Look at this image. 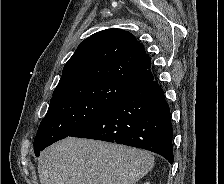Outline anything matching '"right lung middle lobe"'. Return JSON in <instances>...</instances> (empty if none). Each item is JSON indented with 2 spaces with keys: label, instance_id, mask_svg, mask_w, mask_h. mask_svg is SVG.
<instances>
[{
  "label": "right lung middle lobe",
  "instance_id": "right-lung-middle-lobe-1",
  "mask_svg": "<svg viewBox=\"0 0 224 184\" xmlns=\"http://www.w3.org/2000/svg\"><path fill=\"white\" fill-rule=\"evenodd\" d=\"M128 89L124 84L96 80L53 95L34 140L35 155L94 120Z\"/></svg>",
  "mask_w": 224,
  "mask_h": 184
}]
</instances>
